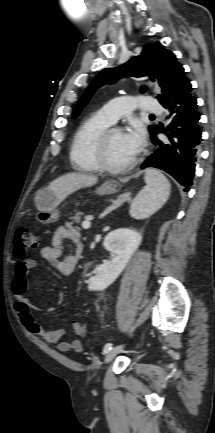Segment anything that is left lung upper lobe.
<instances>
[{
    "instance_id": "1",
    "label": "left lung upper lobe",
    "mask_w": 215,
    "mask_h": 433,
    "mask_svg": "<svg viewBox=\"0 0 215 433\" xmlns=\"http://www.w3.org/2000/svg\"><path fill=\"white\" fill-rule=\"evenodd\" d=\"M127 76H149L151 80L158 79L163 92L162 95L157 97L161 103L175 85L185 77V72L183 67L176 61L175 55L166 50L159 42L147 44L139 56L132 58L121 67L103 69L77 103L73 118L79 115L97 88L106 83H113L119 77ZM146 89V87H142L141 91L144 92ZM149 130L153 136L158 129L155 125H151Z\"/></svg>"
}]
</instances>
